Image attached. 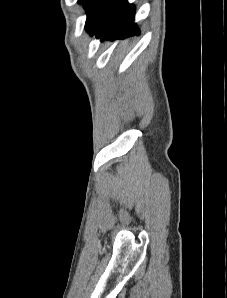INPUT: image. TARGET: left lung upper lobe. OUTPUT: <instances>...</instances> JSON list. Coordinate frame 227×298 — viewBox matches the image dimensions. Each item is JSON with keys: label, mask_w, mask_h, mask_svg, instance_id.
<instances>
[{"label": "left lung upper lobe", "mask_w": 227, "mask_h": 298, "mask_svg": "<svg viewBox=\"0 0 227 298\" xmlns=\"http://www.w3.org/2000/svg\"><path fill=\"white\" fill-rule=\"evenodd\" d=\"M108 0H78L87 10L85 23L86 30L90 33L102 16Z\"/></svg>", "instance_id": "obj_1"}]
</instances>
